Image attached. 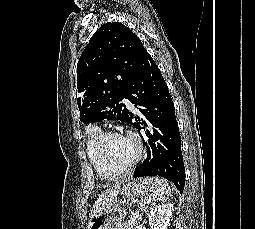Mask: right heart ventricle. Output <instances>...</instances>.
Returning <instances> with one entry per match:
<instances>
[{
	"instance_id": "right-heart-ventricle-1",
	"label": "right heart ventricle",
	"mask_w": 255,
	"mask_h": 229,
	"mask_svg": "<svg viewBox=\"0 0 255 229\" xmlns=\"http://www.w3.org/2000/svg\"><path fill=\"white\" fill-rule=\"evenodd\" d=\"M101 130L93 125L88 129V138L86 145V152L88 159L95 169V171L103 178L111 179L118 175L120 172L111 169L97 154L95 145L101 135Z\"/></svg>"
}]
</instances>
